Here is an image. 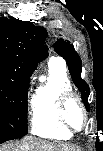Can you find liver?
<instances>
[{"mask_svg": "<svg viewBox=\"0 0 103 151\" xmlns=\"http://www.w3.org/2000/svg\"><path fill=\"white\" fill-rule=\"evenodd\" d=\"M1 151H76L65 143H54L33 136L25 137L21 142L1 147Z\"/></svg>", "mask_w": 103, "mask_h": 151, "instance_id": "1", "label": "liver"}]
</instances>
